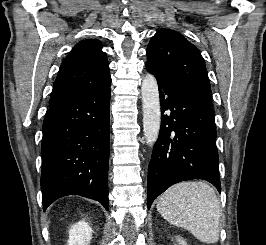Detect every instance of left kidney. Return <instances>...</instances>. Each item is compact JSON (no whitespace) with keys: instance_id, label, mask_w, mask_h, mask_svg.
<instances>
[{"instance_id":"5707ae66","label":"left kidney","mask_w":266,"mask_h":245,"mask_svg":"<svg viewBox=\"0 0 266 245\" xmlns=\"http://www.w3.org/2000/svg\"><path fill=\"white\" fill-rule=\"evenodd\" d=\"M178 245H187V243L184 239H178Z\"/></svg>"}]
</instances>
